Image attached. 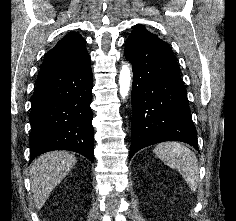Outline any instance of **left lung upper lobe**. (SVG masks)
<instances>
[{
    "label": "left lung upper lobe",
    "mask_w": 236,
    "mask_h": 221,
    "mask_svg": "<svg viewBox=\"0 0 236 221\" xmlns=\"http://www.w3.org/2000/svg\"><path fill=\"white\" fill-rule=\"evenodd\" d=\"M136 31H141V32L148 33V34L154 36L155 38L159 39V38L157 37V35H154V34L150 33L149 31H147V30L145 29V27H144L143 25H141V24L136 25V26L134 27V29H133L132 32H136ZM159 40L162 41L161 39H159ZM162 42H164V41H162ZM164 43L167 44L166 42H164ZM167 45H168V44H167Z\"/></svg>",
    "instance_id": "obj_1"
}]
</instances>
